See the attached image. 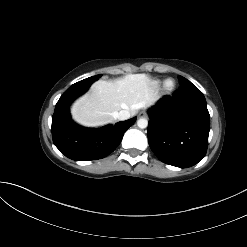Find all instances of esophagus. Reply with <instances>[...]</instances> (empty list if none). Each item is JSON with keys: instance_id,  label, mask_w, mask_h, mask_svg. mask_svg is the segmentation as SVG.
<instances>
[{"instance_id": "obj_1", "label": "esophagus", "mask_w": 247, "mask_h": 247, "mask_svg": "<svg viewBox=\"0 0 247 247\" xmlns=\"http://www.w3.org/2000/svg\"><path fill=\"white\" fill-rule=\"evenodd\" d=\"M139 116L140 117H148V115H147V113L146 112H144V111H141L140 113H139Z\"/></svg>"}]
</instances>
